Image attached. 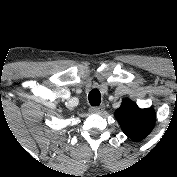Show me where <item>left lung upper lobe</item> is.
Listing matches in <instances>:
<instances>
[{
  "instance_id": "left-lung-upper-lobe-1",
  "label": "left lung upper lobe",
  "mask_w": 177,
  "mask_h": 177,
  "mask_svg": "<svg viewBox=\"0 0 177 177\" xmlns=\"http://www.w3.org/2000/svg\"><path fill=\"white\" fill-rule=\"evenodd\" d=\"M115 118L124 134L134 141L144 139L156 122L154 109H140L131 100H126L121 104L120 108L115 111Z\"/></svg>"
}]
</instances>
